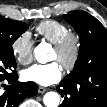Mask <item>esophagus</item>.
<instances>
[{"instance_id": "obj_1", "label": "esophagus", "mask_w": 107, "mask_h": 107, "mask_svg": "<svg viewBox=\"0 0 107 107\" xmlns=\"http://www.w3.org/2000/svg\"><path fill=\"white\" fill-rule=\"evenodd\" d=\"M47 90H48L47 88L42 87V86H39V88H38V92H39V93H44V92H46Z\"/></svg>"}]
</instances>
